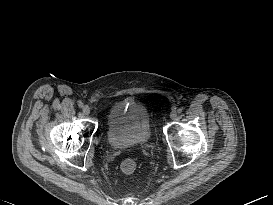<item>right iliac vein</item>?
Here are the masks:
<instances>
[{
    "mask_svg": "<svg viewBox=\"0 0 273 205\" xmlns=\"http://www.w3.org/2000/svg\"><path fill=\"white\" fill-rule=\"evenodd\" d=\"M83 113H84L85 115H89V114H90V107H89L88 105H85V106L83 107Z\"/></svg>",
    "mask_w": 273,
    "mask_h": 205,
    "instance_id": "1",
    "label": "right iliac vein"
}]
</instances>
